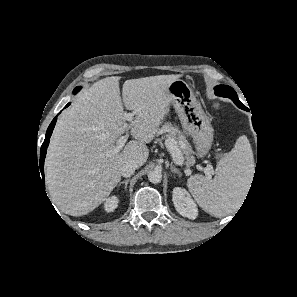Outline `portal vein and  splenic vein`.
Segmentation results:
<instances>
[{"instance_id": "1", "label": "portal vein and splenic vein", "mask_w": 297, "mask_h": 297, "mask_svg": "<svg viewBox=\"0 0 297 297\" xmlns=\"http://www.w3.org/2000/svg\"><path fill=\"white\" fill-rule=\"evenodd\" d=\"M137 112L136 111H133L132 113H127L125 114V119L126 120H132V118L134 117V115L136 114ZM164 131V130H163ZM128 139V135H123L121 136L118 140H117V143H116V146L115 148L111 151L113 154L114 153H118L121 151V149L123 148V146L125 145L126 141ZM165 146L167 148V150L170 152L171 156L173 157L174 161L177 163V164H182L184 162V158L183 156L179 155L176 150V146L175 144L167 139L165 141ZM211 170H212V166L211 165H208L207 168L203 169L204 173L207 175V176H210V173H211ZM191 171L189 169L186 170V174L187 175H190Z\"/></svg>"}]
</instances>
